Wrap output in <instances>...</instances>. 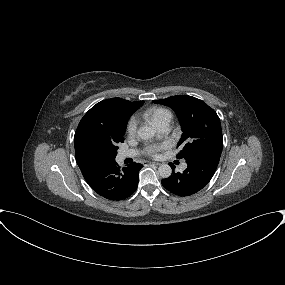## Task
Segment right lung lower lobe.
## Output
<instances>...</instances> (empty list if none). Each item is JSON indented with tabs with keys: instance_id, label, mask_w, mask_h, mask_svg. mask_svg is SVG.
<instances>
[{
	"instance_id": "obj_1",
	"label": "right lung lower lobe",
	"mask_w": 285,
	"mask_h": 285,
	"mask_svg": "<svg viewBox=\"0 0 285 285\" xmlns=\"http://www.w3.org/2000/svg\"><path fill=\"white\" fill-rule=\"evenodd\" d=\"M143 166L132 163L120 169L113 161L82 172L89 186L100 196L119 201L129 197L138 186V173Z\"/></svg>"
}]
</instances>
